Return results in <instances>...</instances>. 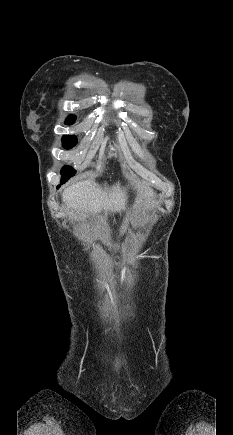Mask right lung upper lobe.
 I'll use <instances>...</instances> for the list:
<instances>
[{
    "label": "right lung upper lobe",
    "instance_id": "right-lung-upper-lobe-1",
    "mask_svg": "<svg viewBox=\"0 0 233 435\" xmlns=\"http://www.w3.org/2000/svg\"><path fill=\"white\" fill-rule=\"evenodd\" d=\"M73 120H75V117H74V116H70V117L67 119L66 122H70V121H73Z\"/></svg>",
    "mask_w": 233,
    "mask_h": 435
}]
</instances>
